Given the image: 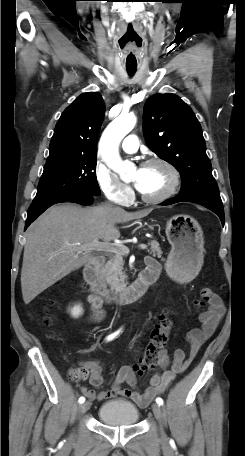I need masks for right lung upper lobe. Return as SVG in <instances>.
<instances>
[{"mask_svg": "<svg viewBox=\"0 0 245 456\" xmlns=\"http://www.w3.org/2000/svg\"><path fill=\"white\" fill-rule=\"evenodd\" d=\"M104 111V101L98 92L77 97L56 124L46 163L97 155V139Z\"/></svg>", "mask_w": 245, "mask_h": 456, "instance_id": "obj_1", "label": "right lung upper lobe"}]
</instances>
